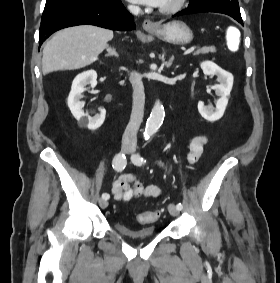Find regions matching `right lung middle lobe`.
Listing matches in <instances>:
<instances>
[{
    "instance_id": "1",
    "label": "right lung middle lobe",
    "mask_w": 280,
    "mask_h": 283,
    "mask_svg": "<svg viewBox=\"0 0 280 283\" xmlns=\"http://www.w3.org/2000/svg\"><path fill=\"white\" fill-rule=\"evenodd\" d=\"M104 1L106 0H47L45 4V9L64 3H77V2L98 3Z\"/></svg>"
}]
</instances>
